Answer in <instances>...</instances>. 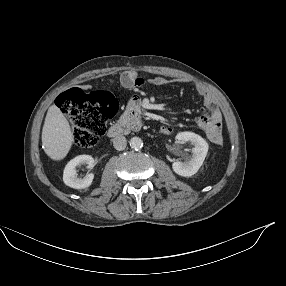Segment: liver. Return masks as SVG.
I'll return each instance as SVG.
<instances>
[{
    "mask_svg": "<svg viewBox=\"0 0 286 286\" xmlns=\"http://www.w3.org/2000/svg\"><path fill=\"white\" fill-rule=\"evenodd\" d=\"M73 141L74 135L66 117L57 106H50L42 129L45 153L52 160H62L70 151Z\"/></svg>",
    "mask_w": 286,
    "mask_h": 286,
    "instance_id": "liver-1",
    "label": "liver"
}]
</instances>
